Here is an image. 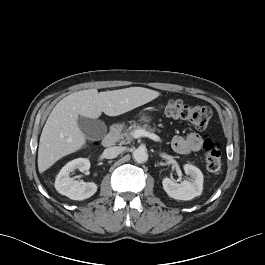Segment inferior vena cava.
Returning a JSON list of instances; mask_svg holds the SVG:
<instances>
[{
  "mask_svg": "<svg viewBox=\"0 0 265 265\" xmlns=\"http://www.w3.org/2000/svg\"><path fill=\"white\" fill-rule=\"evenodd\" d=\"M122 153V148L118 146L106 148L103 152V156L106 159H113Z\"/></svg>",
  "mask_w": 265,
  "mask_h": 265,
  "instance_id": "inferior-vena-cava-1",
  "label": "inferior vena cava"
}]
</instances>
